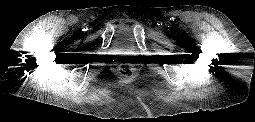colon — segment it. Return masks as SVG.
I'll use <instances>...</instances> for the list:
<instances>
[{
	"label": "colon",
	"mask_w": 255,
	"mask_h": 122,
	"mask_svg": "<svg viewBox=\"0 0 255 122\" xmlns=\"http://www.w3.org/2000/svg\"><path fill=\"white\" fill-rule=\"evenodd\" d=\"M119 72H120V74H122L123 76H129V75L132 74L133 69H132V67H131L130 65H128V64H123V65L120 66Z\"/></svg>",
	"instance_id": "colon-1"
}]
</instances>
